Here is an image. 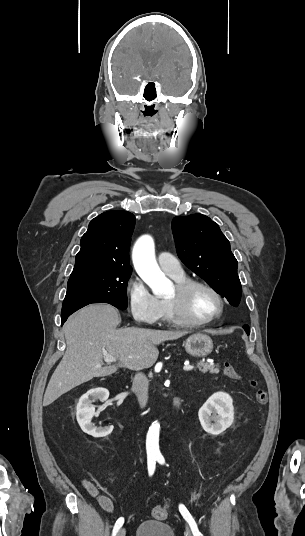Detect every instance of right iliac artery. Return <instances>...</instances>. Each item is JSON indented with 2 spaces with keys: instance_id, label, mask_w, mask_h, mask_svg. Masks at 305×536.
<instances>
[{
  "instance_id": "1",
  "label": "right iliac artery",
  "mask_w": 305,
  "mask_h": 536,
  "mask_svg": "<svg viewBox=\"0 0 305 536\" xmlns=\"http://www.w3.org/2000/svg\"><path fill=\"white\" fill-rule=\"evenodd\" d=\"M156 460H157L156 457L148 458V472L150 476L153 475L155 471ZM123 523H124V518L120 517L115 523L112 536L116 535L117 531L120 529Z\"/></svg>"
}]
</instances>
